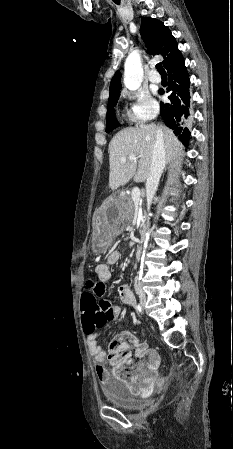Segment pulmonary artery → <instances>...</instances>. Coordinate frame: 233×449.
<instances>
[{"label":"pulmonary artery","instance_id":"1","mask_svg":"<svg viewBox=\"0 0 233 449\" xmlns=\"http://www.w3.org/2000/svg\"><path fill=\"white\" fill-rule=\"evenodd\" d=\"M149 80L153 83H160L161 76L155 70H152L149 73Z\"/></svg>","mask_w":233,"mask_h":449}]
</instances>
